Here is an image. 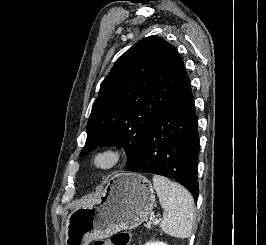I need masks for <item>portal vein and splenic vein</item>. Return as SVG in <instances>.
<instances>
[{
    "mask_svg": "<svg viewBox=\"0 0 266 245\" xmlns=\"http://www.w3.org/2000/svg\"><path fill=\"white\" fill-rule=\"evenodd\" d=\"M157 223H159V221H158V219H155L154 225H157Z\"/></svg>",
    "mask_w": 266,
    "mask_h": 245,
    "instance_id": "1",
    "label": "portal vein and splenic vein"
}]
</instances>
